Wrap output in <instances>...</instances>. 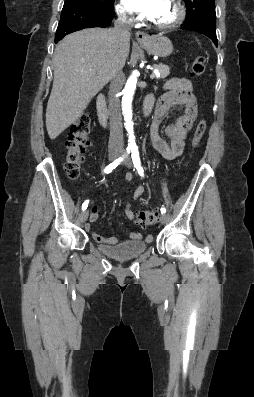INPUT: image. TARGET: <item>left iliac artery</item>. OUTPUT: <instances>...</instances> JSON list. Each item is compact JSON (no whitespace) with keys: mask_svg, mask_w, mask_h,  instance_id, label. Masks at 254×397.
I'll use <instances>...</instances> for the list:
<instances>
[{"mask_svg":"<svg viewBox=\"0 0 254 397\" xmlns=\"http://www.w3.org/2000/svg\"><path fill=\"white\" fill-rule=\"evenodd\" d=\"M132 160H133V164H134L135 168L137 169L139 175L144 176V169L141 166V161H140L139 152H138L137 147L132 149ZM161 213L162 214L166 213V209L164 206L161 207Z\"/></svg>","mask_w":254,"mask_h":397,"instance_id":"obj_1","label":"left iliac artery"}]
</instances>
